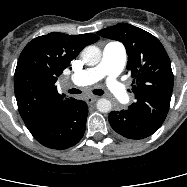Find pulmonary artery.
<instances>
[{"label":"pulmonary artery","mask_w":187,"mask_h":187,"mask_svg":"<svg viewBox=\"0 0 187 187\" xmlns=\"http://www.w3.org/2000/svg\"><path fill=\"white\" fill-rule=\"evenodd\" d=\"M126 62L125 47L119 42H110L103 49L100 63L78 72L71 77V82L77 86H86L106 78V85L118 100H126L128 94L117 77Z\"/></svg>","instance_id":"obj_1"}]
</instances>
